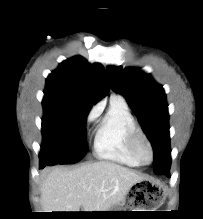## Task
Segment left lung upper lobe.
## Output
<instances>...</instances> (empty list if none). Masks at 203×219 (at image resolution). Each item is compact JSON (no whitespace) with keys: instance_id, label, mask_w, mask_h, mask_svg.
I'll use <instances>...</instances> for the list:
<instances>
[{"instance_id":"5c2ea615","label":"left lung upper lobe","mask_w":203,"mask_h":219,"mask_svg":"<svg viewBox=\"0 0 203 219\" xmlns=\"http://www.w3.org/2000/svg\"><path fill=\"white\" fill-rule=\"evenodd\" d=\"M110 86L122 94L139 119L154 151V172L170 167L169 114L165 91L153 78L137 68L109 66Z\"/></svg>"}]
</instances>
